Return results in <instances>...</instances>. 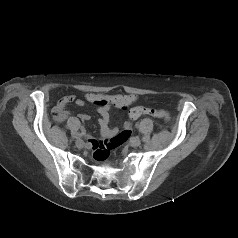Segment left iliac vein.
I'll return each mask as SVG.
<instances>
[{"label":"left iliac vein","instance_id":"obj_1","mask_svg":"<svg viewBox=\"0 0 238 238\" xmlns=\"http://www.w3.org/2000/svg\"><path fill=\"white\" fill-rule=\"evenodd\" d=\"M141 144V140L139 138H132L130 140V145L132 147H138Z\"/></svg>","mask_w":238,"mask_h":238}]
</instances>
